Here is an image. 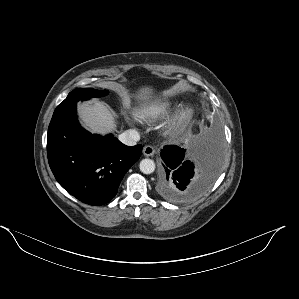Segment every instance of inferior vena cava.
I'll use <instances>...</instances> for the list:
<instances>
[{
  "label": "inferior vena cava",
  "instance_id": "1",
  "mask_svg": "<svg viewBox=\"0 0 299 299\" xmlns=\"http://www.w3.org/2000/svg\"><path fill=\"white\" fill-rule=\"evenodd\" d=\"M118 139L127 146H134L140 140V134L134 129H129L121 133Z\"/></svg>",
  "mask_w": 299,
  "mask_h": 299
}]
</instances>
